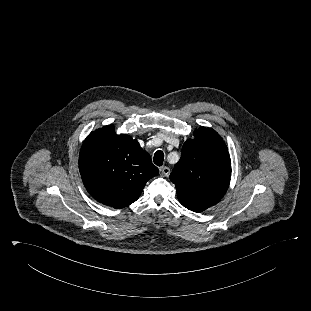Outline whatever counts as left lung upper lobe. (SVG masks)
<instances>
[{
	"label": "left lung upper lobe",
	"mask_w": 311,
	"mask_h": 311,
	"mask_svg": "<svg viewBox=\"0 0 311 311\" xmlns=\"http://www.w3.org/2000/svg\"><path fill=\"white\" fill-rule=\"evenodd\" d=\"M231 177L227 146L218 133L206 127L194 131L170 174L181 199L213 206L226 193Z\"/></svg>",
	"instance_id": "5c2ea615"
}]
</instances>
